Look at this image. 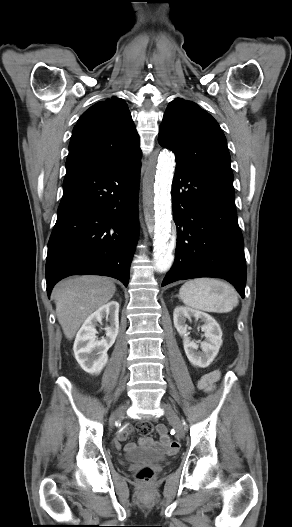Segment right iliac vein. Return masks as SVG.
I'll return each mask as SVG.
<instances>
[{"label":"right iliac vein","mask_w":292,"mask_h":527,"mask_svg":"<svg viewBox=\"0 0 292 527\" xmlns=\"http://www.w3.org/2000/svg\"><path fill=\"white\" fill-rule=\"evenodd\" d=\"M125 410H126V406H122V407H120V408L114 413V415L112 416V420H115L116 418L121 417V416L124 414Z\"/></svg>","instance_id":"63e3f726"}]
</instances>
